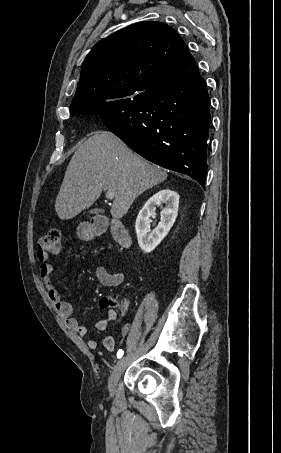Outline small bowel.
<instances>
[{
    "mask_svg": "<svg viewBox=\"0 0 281 453\" xmlns=\"http://www.w3.org/2000/svg\"><path fill=\"white\" fill-rule=\"evenodd\" d=\"M41 280L46 288L48 298L52 304H54L56 310L63 316L69 327L76 332L81 337H86L88 330L85 327L84 323L80 318L76 317L73 313L71 305L63 301L61 296L55 286L53 275H52V266L49 263L42 262L39 269ZM95 275L99 280L100 284L103 286H120L124 281L123 272H107L103 267L97 266L95 268ZM129 308V303L127 301H122L120 303V312L124 316ZM119 314L114 309H109L106 311V316L104 319L100 320L96 324V329L99 332L106 331L111 322L118 320ZM86 345L89 349H96L98 347V340L96 337H88L86 339ZM103 345L106 350L112 351L115 349L116 341L113 335H106L103 339Z\"/></svg>",
    "mask_w": 281,
    "mask_h": 453,
    "instance_id": "1",
    "label": "small bowel"
}]
</instances>
